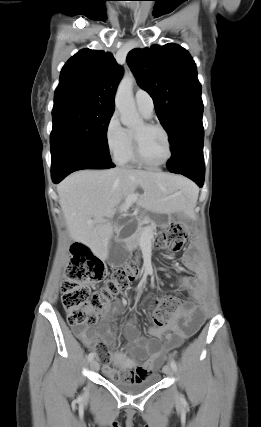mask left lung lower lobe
<instances>
[{
  "instance_id": "left-lung-lower-lobe-1",
  "label": "left lung lower lobe",
  "mask_w": 261,
  "mask_h": 427,
  "mask_svg": "<svg viewBox=\"0 0 261 427\" xmlns=\"http://www.w3.org/2000/svg\"><path fill=\"white\" fill-rule=\"evenodd\" d=\"M203 142L202 121L183 126L170 141L172 156L166 164L170 172L189 177L199 187L203 186L205 174Z\"/></svg>"
}]
</instances>
